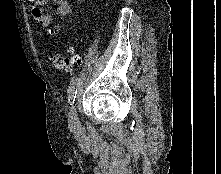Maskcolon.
<instances>
[{
	"instance_id": "1",
	"label": "colon",
	"mask_w": 221,
	"mask_h": 174,
	"mask_svg": "<svg viewBox=\"0 0 221 174\" xmlns=\"http://www.w3.org/2000/svg\"><path fill=\"white\" fill-rule=\"evenodd\" d=\"M49 62L58 70L70 72L80 64L81 59L72 50H69V53H55L51 55Z\"/></svg>"
}]
</instances>
